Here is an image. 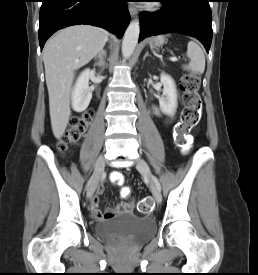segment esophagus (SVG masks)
I'll use <instances>...</instances> for the list:
<instances>
[{"mask_svg":"<svg viewBox=\"0 0 258 275\" xmlns=\"http://www.w3.org/2000/svg\"><path fill=\"white\" fill-rule=\"evenodd\" d=\"M129 13L131 17H136L138 14V8L134 4L129 5Z\"/></svg>","mask_w":258,"mask_h":275,"instance_id":"34e87169","label":"esophagus"}]
</instances>
